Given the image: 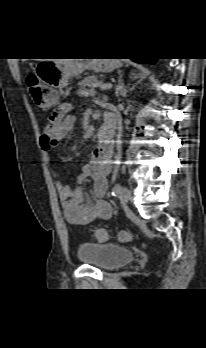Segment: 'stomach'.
<instances>
[{
    "instance_id": "stomach-1",
    "label": "stomach",
    "mask_w": 206,
    "mask_h": 348,
    "mask_svg": "<svg viewBox=\"0 0 206 348\" xmlns=\"http://www.w3.org/2000/svg\"><path fill=\"white\" fill-rule=\"evenodd\" d=\"M118 67V61L115 59H92L86 62L70 61L58 63L55 61H42L35 67V74L47 86L53 89L49 94L41 89L35 102L43 110L54 107L58 102V93L56 90L65 88L72 77H78L87 69L96 72H111Z\"/></svg>"
}]
</instances>
